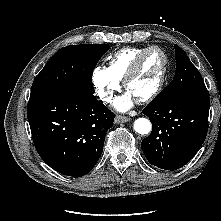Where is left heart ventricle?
Masks as SVG:
<instances>
[{"label":"left heart ventricle","instance_id":"left-heart-ventricle-1","mask_svg":"<svg viewBox=\"0 0 221 221\" xmlns=\"http://www.w3.org/2000/svg\"><path fill=\"white\" fill-rule=\"evenodd\" d=\"M163 65V57L158 51H151L145 57L139 72L131 80L127 91L134 99L140 98L156 86Z\"/></svg>","mask_w":221,"mask_h":221}]
</instances>
